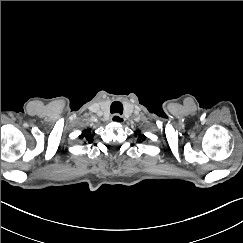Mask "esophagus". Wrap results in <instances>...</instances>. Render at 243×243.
I'll return each instance as SVG.
<instances>
[{"label":"esophagus","mask_w":243,"mask_h":243,"mask_svg":"<svg viewBox=\"0 0 243 243\" xmlns=\"http://www.w3.org/2000/svg\"><path fill=\"white\" fill-rule=\"evenodd\" d=\"M111 121L113 123L122 124V123H124L125 119L121 115H119V114H114L111 117Z\"/></svg>","instance_id":"34e87169"}]
</instances>
